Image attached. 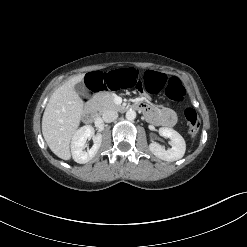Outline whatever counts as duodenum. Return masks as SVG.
<instances>
[{"label": "duodenum", "instance_id": "duodenum-1", "mask_svg": "<svg viewBox=\"0 0 247 247\" xmlns=\"http://www.w3.org/2000/svg\"><path fill=\"white\" fill-rule=\"evenodd\" d=\"M132 107L134 109L142 110V106L139 103L133 104ZM83 117H84V120L88 123L94 122L98 117V111H97L96 106L93 104L87 105V107L85 108Z\"/></svg>", "mask_w": 247, "mask_h": 247}]
</instances>
